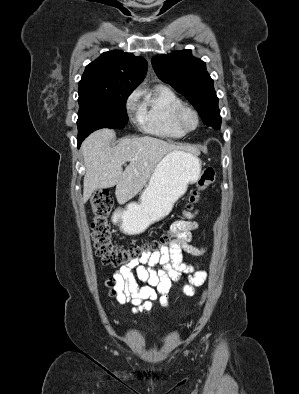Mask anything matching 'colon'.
<instances>
[{
  "instance_id": "5ec220e1",
  "label": "colon",
  "mask_w": 299,
  "mask_h": 394,
  "mask_svg": "<svg viewBox=\"0 0 299 394\" xmlns=\"http://www.w3.org/2000/svg\"><path fill=\"white\" fill-rule=\"evenodd\" d=\"M215 181V171L212 168H205L200 178L189 195L188 203L185 206V214L191 213L192 207L197 204L203 191ZM113 198L107 191L96 192L89 202V208L94 214L92 222V238L97 256L105 265L118 267L128 265L143 255L162 251L170 247L175 235L171 231L162 233L158 238L149 243L134 244L130 246H117L111 238V230L108 218L113 208ZM109 289H114L116 282L113 278L106 281Z\"/></svg>"
}]
</instances>
